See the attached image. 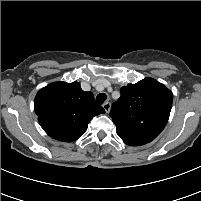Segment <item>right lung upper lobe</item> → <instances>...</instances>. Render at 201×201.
I'll list each match as a JSON object with an SVG mask.
<instances>
[{"mask_svg": "<svg viewBox=\"0 0 201 201\" xmlns=\"http://www.w3.org/2000/svg\"><path fill=\"white\" fill-rule=\"evenodd\" d=\"M34 110L43 130L63 142L77 140L94 116L105 113L93 94L83 91L77 82H54L42 88Z\"/></svg>", "mask_w": 201, "mask_h": 201, "instance_id": "right-lung-upper-lobe-1", "label": "right lung upper lobe"}]
</instances>
